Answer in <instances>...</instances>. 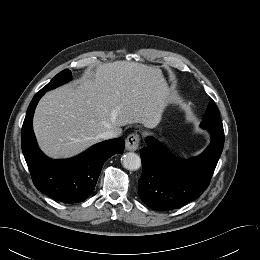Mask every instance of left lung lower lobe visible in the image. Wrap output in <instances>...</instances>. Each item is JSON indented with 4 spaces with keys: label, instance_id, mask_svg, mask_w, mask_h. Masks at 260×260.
<instances>
[{
    "label": "left lung lower lobe",
    "instance_id": "obj_1",
    "mask_svg": "<svg viewBox=\"0 0 260 260\" xmlns=\"http://www.w3.org/2000/svg\"><path fill=\"white\" fill-rule=\"evenodd\" d=\"M211 135L209 146L191 160L180 161L154 138L141 149L143 172L138 195L154 210L177 209L197 199L208 187L224 145V129L201 125Z\"/></svg>",
    "mask_w": 260,
    "mask_h": 260
}]
</instances>
